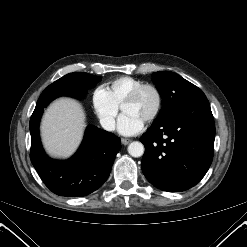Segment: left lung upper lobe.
Listing matches in <instances>:
<instances>
[{
  "label": "left lung upper lobe",
  "instance_id": "5c2ea615",
  "mask_svg": "<svg viewBox=\"0 0 247 247\" xmlns=\"http://www.w3.org/2000/svg\"><path fill=\"white\" fill-rule=\"evenodd\" d=\"M152 81L162 97V108L157 118L170 117L192 101L207 99L197 86L170 71L153 73Z\"/></svg>",
  "mask_w": 247,
  "mask_h": 247
}]
</instances>
